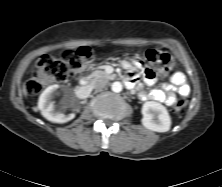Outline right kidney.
<instances>
[{
    "label": "right kidney",
    "instance_id": "ca27d5eb",
    "mask_svg": "<svg viewBox=\"0 0 222 187\" xmlns=\"http://www.w3.org/2000/svg\"><path fill=\"white\" fill-rule=\"evenodd\" d=\"M58 88V85L47 87L39 97L38 108L47 120L55 123H65L73 119L75 115L73 113L65 115L56 109V105L52 101V98L56 94Z\"/></svg>",
    "mask_w": 222,
    "mask_h": 187
}]
</instances>
